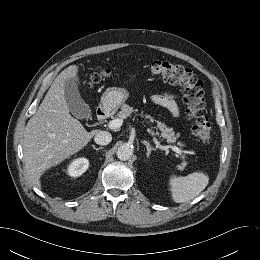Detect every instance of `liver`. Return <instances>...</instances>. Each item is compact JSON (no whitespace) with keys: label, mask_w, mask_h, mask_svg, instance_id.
Here are the masks:
<instances>
[{"label":"liver","mask_w":260,"mask_h":260,"mask_svg":"<svg viewBox=\"0 0 260 260\" xmlns=\"http://www.w3.org/2000/svg\"><path fill=\"white\" fill-rule=\"evenodd\" d=\"M68 79L79 81L77 65L67 67L55 78L24 130L25 169L36 187L41 186L40 177L46 170L83 149L97 133L88 132L70 115L64 92Z\"/></svg>","instance_id":"6515ba94"}]
</instances>
